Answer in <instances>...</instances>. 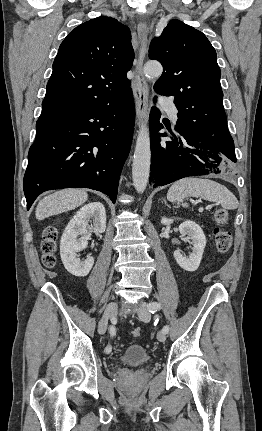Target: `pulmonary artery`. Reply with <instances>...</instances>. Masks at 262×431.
<instances>
[{
  "instance_id": "obj_1",
  "label": "pulmonary artery",
  "mask_w": 262,
  "mask_h": 431,
  "mask_svg": "<svg viewBox=\"0 0 262 431\" xmlns=\"http://www.w3.org/2000/svg\"><path fill=\"white\" fill-rule=\"evenodd\" d=\"M159 105L168 111L173 121L177 120V109L175 108L173 101L170 98H167V97L161 98L159 101Z\"/></svg>"
}]
</instances>
